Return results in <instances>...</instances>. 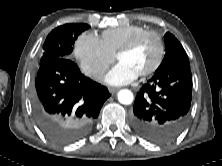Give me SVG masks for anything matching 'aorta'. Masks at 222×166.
I'll list each match as a JSON object with an SVG mask.
<instances>
[{"mask_svg": "<svg viewBox=\"0 0 222 166\" xmlns=\"http://www.w3.org/2000/svg\"><path fill=\"white\" fill-rule=\"evenodd\" d=\"M133 93L128 89H122L118 92V100L121 104L129 105L133 102Z\"/></svg>", "mask_w": 222, "mask_h": 166, "instance_id": "762f6f07", "label": "aorta"}]
</instances>
